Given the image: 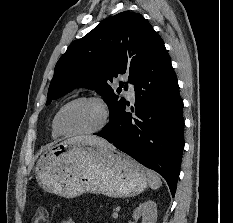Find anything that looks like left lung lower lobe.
Listing matches in <instances>:
<instances>
[{
  "label": "left lung lower lobe",
  "instance_id": "0a47b994",
  "mask_svg": "<svg viewBox=\"0 0 233 223\" xmlns=\"http://www.w3.org/2000/svg\"><path fill=\"white\" fill-rule=\"evenodd\" d=\"M135 108L117 115L95 135L158 172L175 195L184 147L183 101L162 39L133 82Z\"/></svg>",
  "mask_w": 233,
  "mask_h": 223
}]
</instances>
